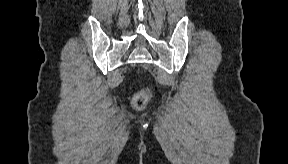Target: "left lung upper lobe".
<instances>
[{"instance_id":"obj_1","label":"left lung upper lobe","mask_w":288,"mask_h":164,"mask_svg":"<svg viewBox=\"0 0 288 164\" xmlns=\"http://www.w3.org/2000/svg\"><path fill=\"white\" fill-rule=\"evenodd\" d=\"M260 86V84L258 83V82H255L254 84H253V87L254 88H258Z\"/></svg>"}]
</instances>
